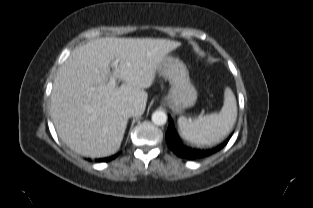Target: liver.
<instances>
[{"label":"liver","instance_id":"1","mask_svg":"<svg viewBox=\"0 0 313 208\" xmlns=\"http://www.w3.org/2000/svg\"><path fill=\"white\" fill-rule=\"evenodd\" d=\"M178 41L154 38H99L75 48L59 68L51 93V113L60 139L74 152L99 158L121 145L128 117L119 107L132 103L133 116L146 108L149 88L168 53ZM119 60L117 77L124 83L110 86V63Z\"/></svg>","mask_w":313,"mask_h":208}]
</instances>
